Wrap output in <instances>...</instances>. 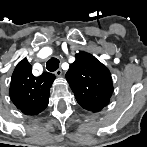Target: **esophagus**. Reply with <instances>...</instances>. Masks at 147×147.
I'll use <instances>...</instances> for the list:
<instances>
[{"instance_id": "1", "label": "esophagus", "mask_w": 147, "mask_h": 147, "mask_svg": "<svg viewBox=\"0 0 147 147\" xmlns=\"http://www.w3.org/2000/svg\"><path fill=\"white\" fill-rule=\"evenodd\" d=\"M55 75H56L57 77H60V76L62 75V70H61V69H57V70L55 71Z\"/></svg>"}]
</instances>
